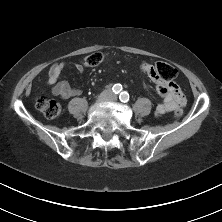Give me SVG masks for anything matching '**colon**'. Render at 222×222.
<instances>
[{
    "label": "colon",
    "instance_id": "obj_1",
    "mask_svg": "<svg viewBox=\"0 0 222 222\" xmlns=\"http://www.w3.org/2000/svg\"><path fill=\"white\" fill-rule=\"evenodd\" d=\"M106 58V54L101 51H95L83 58V64L87 67H95L100 65ZM160 73L165 82H171L177 75L176 69L165 62H157L151 64ZM36 106L42 112V114L48 119H54L61 113V105L58 101L49 98L45 94H40L36 98ZM175 118H179L182 115L181 108H178L173 113Z\"/></svg>",
    "mask_w": 222,
    "mask_h": 222
}]
</instances>
